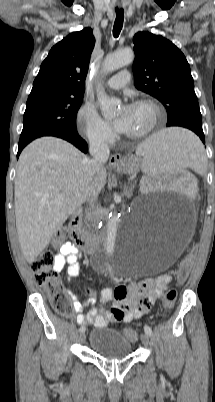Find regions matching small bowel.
Masks as SVG:
<instances>
[{"instance_id": "1", "label": "small bowel", "mask_w": 215, "mask_h": 402, "mask_svg": "<svg viewBox=\"0 0 215 402\" xmlns=\"http://www.w3.org/2000/svg\"><path fill=\"white\" fill-rule=\"evenodd\" d=\"M80 252L71 242H65L55 257L54 268L57 272L67 265V283L80 273ZM171 281L169 275H160L156 278H145L132 281L127 285L116 288H104L101 291L99 304H96V293L93 289L85 287L88 299L81 301L79 295L72 289L68 294L72 301L73 313L78 324H92L96 327H105L110 323H129L147 314L155 301L162 296ZM112 304L111 309L106 305ZM90 306L87 314L83 313L85 307Z\"/></svg>"}]
</instances>
